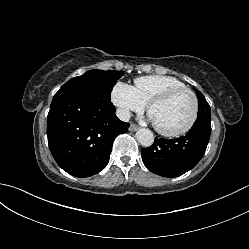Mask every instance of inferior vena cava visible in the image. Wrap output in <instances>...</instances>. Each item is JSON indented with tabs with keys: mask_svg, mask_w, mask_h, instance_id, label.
I'll return each instance as SVG.
<instances>
[{
	"mask_svg": "<svg viewBox=\"0 0 249 249\" xmlns=\"http://www.w3.org/2000/svg\"><path fill=\"white\" fill-rule=\"evenodd\" d=\"M116 115L121 121L124 122H127L130 119V112L126 109H117Z\"/></svg>",
	"mask_w": 249,
	"mask_h": 249,
	"instance_id": "obj_1",
	"label": "inferior vena cava"
}]
</instances>
